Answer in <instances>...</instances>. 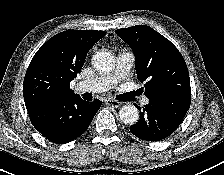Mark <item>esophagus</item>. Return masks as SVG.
<instances>
[{"mask_svg":"<svg viewBox=\"0 0 224 175\" xmlns=\"http://www.w3.org/2000/svg\"><path fill=\"white\" fill-rule=\"evenodd\" d=\"M106 104L108 106L114 107V108H118L121 105V102L118 100H114V99H107L106 100Z\"/></svg>","mask_w":224,"mask_h":175,"instance_id":"1","label":"esophagus"}]
</instances>
